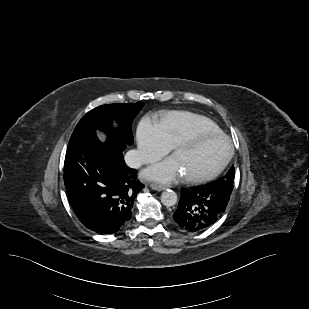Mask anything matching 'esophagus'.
I'll return each mask as SVG.
<instances>
[{
    "mask_svg": "<svg viewBox=\"0 0 309 309\" xmlns=\"http://www.w3.org/2000/svg\"><path fill=\"white\" fill-rule=\"evenodd\" d=\"M150 187L153 189V190H157V191H162L164 190L166 187L162 184H159V183H151L150 184Z\"/></svg>",
    "mask_w": 309,
    "mask_h": 309,
    "instance_id": "34e87169",
    "label": "esophagus"
}]
</instances>
